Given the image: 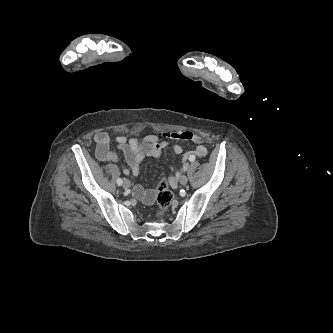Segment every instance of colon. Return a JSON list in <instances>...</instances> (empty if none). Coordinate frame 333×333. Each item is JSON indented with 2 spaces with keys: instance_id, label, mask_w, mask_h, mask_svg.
Returning a JSON list of instances; mask_svg holds the SVG:
<instances>
[{
  "instance_id": "5ec220e1",
  "label": "colon",
  "mask_w": 333,
  "mask_h": 333,
  "mask_svg": "<svg viewBox=\"0 0 333 333\" xmlns=\"http://www.w3.org/2000/svg\"><path fill=\"white\" fill-rule=\"evenodd\" d=\"M156 190H157V204L159 206L157 215L158 217H161L172 204L174 200V195L169 190L168 183L165 178L161 179L158 182Z\"/></svg>"
}]
</instances>
